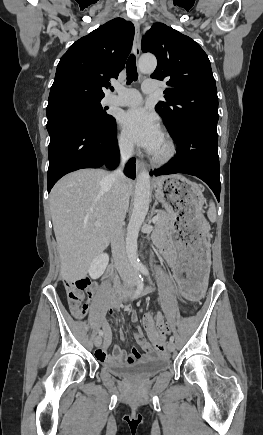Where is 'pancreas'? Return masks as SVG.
Segmentation results:
<instances>
[{
    "label": "pancreas",
    "instance_id": "pancreas-1",
    "mask_svg": "<svg viewBox=\"0 0 263 435\" xmlns=\"http://www.w3.org/2000/svg\"><path fill=\"white\" fill-rule=\"evenodd\" d=\"M174 218L175 213L173 212H161L159 214V219L155 223V229L152 234V239L154 243L157 244L166 238V236L170 233V230L172 229Z\"/></svg>",
    "mask_w": 263,
    "mask_h": 435
}]
</instances>
